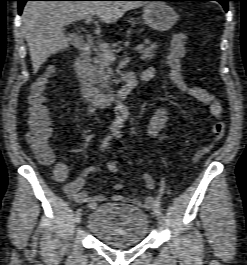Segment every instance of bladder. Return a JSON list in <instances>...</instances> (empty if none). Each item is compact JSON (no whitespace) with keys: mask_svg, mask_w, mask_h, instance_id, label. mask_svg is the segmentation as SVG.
<instances>
[{"mask_svg":"<svg viewBox=\"0 0 247 265\" xmlns=\"http://www.w3.org/2000/svg\"><path fill=\"white\" fill-rule=\"evenodd\" d=\"M87 228L103 244L127 247L144 241L149 221L147 214L135 206L105 202L91 211Z\"/></svg>","mask_w":247,"mask_h":265,"instance_id":"obj_1","label":"bladder"}]
</instances>
